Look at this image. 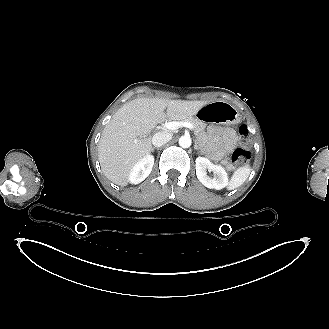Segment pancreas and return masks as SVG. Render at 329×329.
<instances>
[{
	"label": "pancreas",
	"instance_id": "1",
	"mask_svg": "<svg viewBox=\"0 0 329 329\" xmlns=\"http://www.w3.org/2000/svg\"><path fill=\"white\" fill-rule=\"evenodd\" d=\"M181 122H190L191 124H193L196 133H203L206 127V125L202 121L193 117L182 119ZM222 163L226 165L227 169L229 170L234 169V166L231 163L227 161H222Z\"/></svg>",
	"mask_w": 329,
	"mask_h": 329
}]
</instances>
